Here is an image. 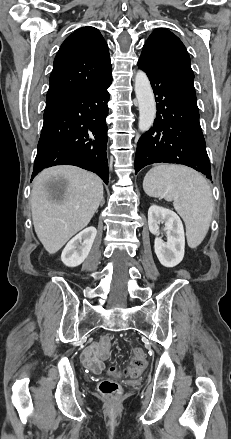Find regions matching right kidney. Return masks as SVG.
Returning <instances> with one entry per match:
<instances>
[{"label":"right kidney","instance_id":"obj_1","mask_svg":"<svg viewBox=\"0 0 231 439\" xmlns=\"http://www.w3.org/2000/svg\"><path fill=\"white\" fill-rule=\"evenodd\" d=\"M96 234V228L90 226L72 238L62 251V262L68 267L82 264L92 248Z\"/></svg>","mask_w":231,"mask_h":439}]
</instances>
